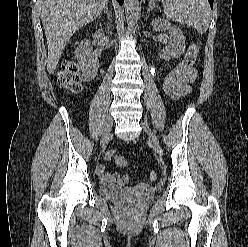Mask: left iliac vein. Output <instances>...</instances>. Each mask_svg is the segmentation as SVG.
<instances>
[{"mask_svg":"<svg viewBox=\"0 0 248 247\" xmlns=\"http://www.w3.org/2000/svg\"><path fill=\"white\" fill-rule=\"evenodd\" d=\"M142 127L144 131L147 133V135L149 136V139L152 143L154 150L160 151L161 147H160L159 139L157 138V136L153 133V131L150 129V127L146 123H142Z\"/></svg>","mask_w":248,"mask_h":247,"instance_id":"4c4485c4","label":"left iliac vein"}]
</instances>
